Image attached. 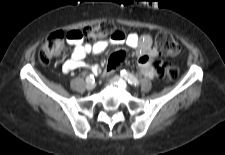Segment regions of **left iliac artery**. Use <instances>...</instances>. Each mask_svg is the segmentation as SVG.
<instances>
[{
	"label": "left iliac artery",
	"mask_w": 225,
	"mask_h": 155,
	"mask_svg": "<svg viewBox=\"0 0 225 155\" xmlns=\"http://www.w3.org/2000/svg\"><path fill=\"white\" fill-rule=\"evenodd\" d=\"M121 76H123L130 84L139 86V80L131 73L126 70L120 71Z\"/></svg>",
	"instance_id": "obj_1"
}]
</instances>
